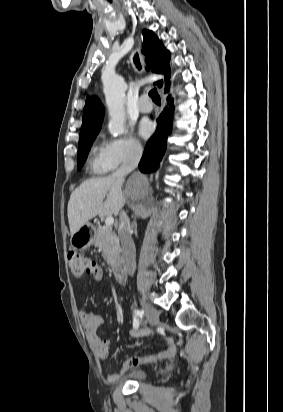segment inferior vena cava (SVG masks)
<instances>
[{"instance_id":"obj_1","label":"inferior vena cava","mask_w":283,"mask_h":412,"mask_svg":"<svg viewBox=\"0 0 283 412\" xmlns=\"http://www.w3.org/2000/svg\"><path fill=\"white\" fill-rule=\"evenodd\" d=\"M141 155V146L132 147L126 158L123 160L121 166L113 173V177L123 182L124 177L138 166ZM118 235L122 245L125 269L130 276H133L136 269V250L131 237L130 219L124 210H121L119 215Z\"/></svg>"}]
</instances>
